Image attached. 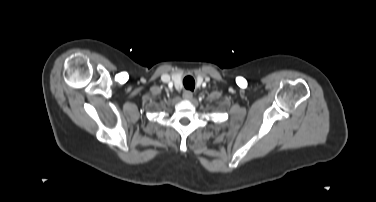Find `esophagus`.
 Segmentation results:
<instances>
[{
  "mask_svg": "<svg viewBox=\"0 0 376 202\" xmlns=\"http://www.w3.org/2000/svg\"><path fill=\"white\" fill-rule=\"evenodd\" d=\"M182 97L184 100H192L193 93L191 91L185 90Z\"/></svg>",
  "mask_w": 376,
  "mask_h": 202,
  "instance_id": "obj_1",
  "label": "esophagus"
}]
</instances>
